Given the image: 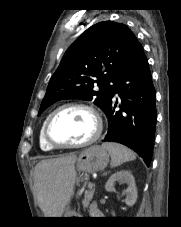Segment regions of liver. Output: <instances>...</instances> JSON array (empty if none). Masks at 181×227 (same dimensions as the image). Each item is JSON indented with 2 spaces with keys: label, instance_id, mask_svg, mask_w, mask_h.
<instances>
[{
  "label": "liver",
  "instance_id": "1",
  "mask_svg": "<svg viewBox=\"0 0 181 227\" xmlns=\"http://www.w3.org/2000/svg\"><path fill=\"white\" fill-rule=\"evenodd\" d=\"M77 156L70 154L40 161L35 166L34 186L39 207L46 217H61L74 194Z\"/></svg>",
  "mask_w": 181,
  "mask_h": 227
}]
</instances>
